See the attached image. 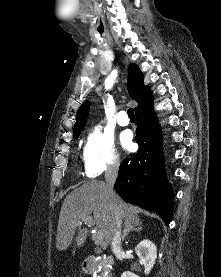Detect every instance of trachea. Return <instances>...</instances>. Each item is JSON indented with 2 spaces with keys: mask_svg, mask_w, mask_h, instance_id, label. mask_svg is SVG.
Listing matches in <instances>:
<instances>
[{
  "mask_svg": "<svg viewBox=\"0 0 221 277\" xmlns=\"http://www.w3.org/2000/svg\"><path fill=\"white\" fill-rule=\"evenodd\" d=\"M127 114H128V117L130 119H135V115H134V110L133 108H129L128 111H127Z\"/></svg>",
  "mask_w": 221,
  "mask_h": 277,
  "instance_id": "1",
  "label": "trachea"
}]
</instances>
